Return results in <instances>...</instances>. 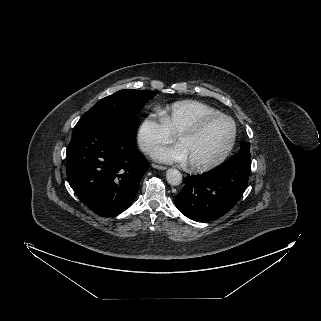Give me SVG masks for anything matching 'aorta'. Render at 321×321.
<instances>
[{
    "mask_svg": "<svg viewBox=\"0 0 321 321\" xmlns=\"http://www.w3.org/2000/svg\"><path fill=\"white\" fill-rule=\"evenodd\" d=\"M167 182L172 186H178L182 182V174L177 169H168L166 173Z\"/></svg>",
    "mask_w": 321,
    "mask_h": 321,
    "instance_id": "1",
    "label": "aorta"
}]
</instances>
